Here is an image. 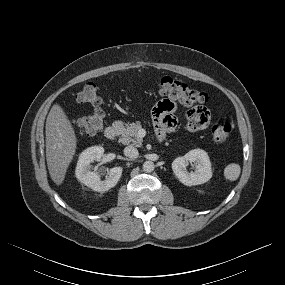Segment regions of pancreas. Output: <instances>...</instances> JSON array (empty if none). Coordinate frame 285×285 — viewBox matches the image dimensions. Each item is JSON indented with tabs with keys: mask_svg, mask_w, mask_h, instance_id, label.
Returning a JSON list of instances; mask_svg holds the SVG:
<instances>
[{
	"mask_svg": "<svg viewBox=\"0 0 285 285\" xmlns=\"http://www.w3.org/2000/svg\"><path fill=\"white\" fill-rule=\"evenodd\" d=\"M114 126L119 128V133L121 135L119 141L122 144H131L136 147L142 146V139L139 138L137 135L138 130L141 128L139 122L124 125V123H122L121 121H117L114 123Z\"/></svg>",
	"mask_w": 285,
	"mask_h": 285,
	"instance_id": "cf45deb5",
	"label": "pancreas"
}]
</instances>
